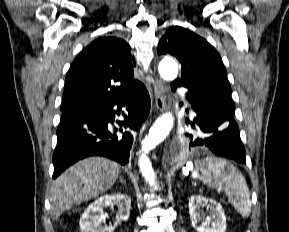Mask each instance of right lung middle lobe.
Wrapping results in <instances>:
<instances>
[{
    "label": "right lung middle lobe",
    "instance_id": "1",
    "mask_svg": "<svg viewBox=\"0 0 289 232\" xmlns=\"http://www.w3.org/2000/svg\"><path fill=\"white\" fill-rule=\"evenodd\" d=\"M76 112H78V111H76ZM73 113H75V112H62V115H69V114H73Z\"/></svg>",
    "mask_w": 289,
    "mask_h": 232
}]
</instances>
